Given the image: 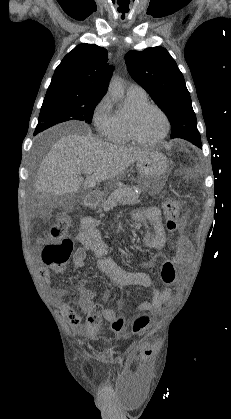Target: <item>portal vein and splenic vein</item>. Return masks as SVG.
<instances>
[{
	"instance_id": "1",
	"label": "portal vein and splenic vein",
	"mask_w": 231,
	"mask_h": 419,
	"mask_svg": "<svg viewBox=\"0 0 231 419\" xmlns=\"http://www.w3.org/2000/svg\"><path fill=\"white\" fill-rule=\"evenodd\" d=\"M91 173H92V170H89V169L84 170V174H86V175L91 174Z\"/></svg>"
}]
</instances>
